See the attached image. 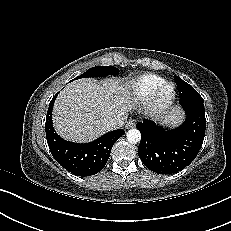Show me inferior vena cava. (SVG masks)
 <instances>
[{"label": "inferior vena cava", "mask_w": 231, "mask_h": 231, "mask_svg": "<svg viewBox=\"0 0 231 231\" xmlns=\"http://www.w3.org/2000/svg\"><path fill=\"white\" fill-rule=\"evenodd\" d=\"M126 120H127L126 114H123V115L118 116L116 118L109 119L107 121V129L108 130L119 129L124 125Z\"/></svg>", "instance_id": "obj_1"}]
</instances>
